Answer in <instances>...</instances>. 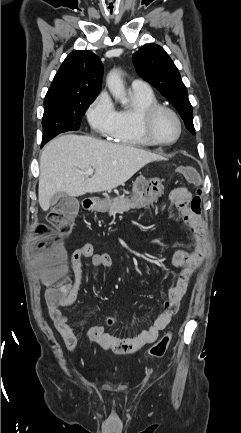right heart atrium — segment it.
Instances as JSON below:
<instances>
[{
  "label": "right heart atrium",
  "mask_w": 241,
  "mask_h": 433,
  "mask_svg": "<svg viewBox=\"0 0 241 433\" xmlns=\"http://www.w3.org/2000/svg\"><path fill=\"white\" fill-rule=\"evenodd\" d=\"M87 119L91 127L103 136L112 135L116 121L117 110L108 95L100 94L87 110Z\"/></svg>",
  "instance_id": "1"
}]
</instances>
